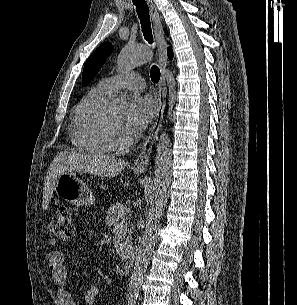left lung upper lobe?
Segmentation results:
<instances>
[{"label": "left lung upper lobe", "instance_id": "obj_1", "mask_svg": "<svg viewBox=\"0 0 297 305\" xmlns=\"http://www.w3.org/2000/svg\"><path fill=\"white\" fill-rule=\"evenodd\" d=\"M112 51L111 43L102 44L95 52L88 58L85 63L82 75V84L88 85L92 78L98 73L107 57Z\"/></svg>", "mask_w": 297, "mask_h": 305}]
</instances>
